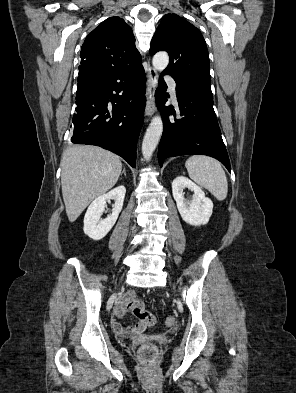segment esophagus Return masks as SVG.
Returning a JSON list of instances; mask_svg holds the SVG:
<instances>
[{
    "label": "esophagus",
    "mask_w": 296,
    "mask_h": 393,
    "mask_svg": "<svg viewBox=\"0 0 296 393\" xmlns=\"http://www.w3.org/2000/svg\"><path fill=\"white\" fill-rule=\"evenodd\" d=\"M157 79H158L157 71L152 66H149L148 76H147V94H146L147 101H146V108H145V114L148 117L152 116L156 110L155 90H156Z\"/></svg>",
    "instance_id": "esophagus-1"
}]
</instances>
